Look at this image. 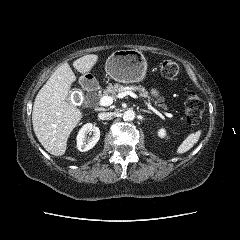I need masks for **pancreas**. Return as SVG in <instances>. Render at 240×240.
Instances as JSON below:
<instances>
[{"mask_svg":"<svg viewBox=\"0 0 240 240\" xmlns=\"http://www.w3.org/2000/svg\"><path fill=\"white\" fill-rule=\"evenodd\" d=\"M134 89H136L140 95L144 96V97H148V92L145 90V88L143 86H136V87H133ZM124 90V86L123 85H120V84H109L106 89L101 93L99 92L97 94V96L99 98H101L102 96H111L113 99H115L117 97V94L119 92H122Z\"/></svg>","mask_w":240,"mask_h":240,"instance_id":"cf45deb5","label":"pancreas"}]
</instances>
